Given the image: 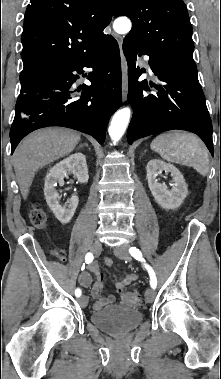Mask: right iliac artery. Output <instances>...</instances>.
Wrapping results in <instances>:
<instances>
[{
	"label": "right iliac artery",
	"mask_w": 221,
	"mask_h": 379,
	"mask_svg": "<svg viewBox=\"0 0 221 379\" xmlns=\"http://www.w3.org/2000/svg\"><path fill=\"white\" fill-rule=\"evenodd\" d=\"M93 259H94V256H93V254L91 252H89V253L86 254V256H85V262L87 264L91 263L93 261ZM75 296L76 297H80L81 296V290H80V288H77L75 290Z\"/></svg>",
	"instance_id": "82829eb1"
}]
</instances>
